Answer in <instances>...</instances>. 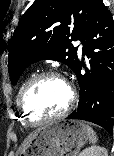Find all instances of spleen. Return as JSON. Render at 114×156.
I'll return each instance as SVG.
<instances>
[{
  "mask_svg": "<svg viewBox=\"0 0 114 156\" xmlns=\"http://www.w3.org/2000/svg\"><path fill=\"white\" fill-rule=\"evenodd\" d=\"M87 133H88L89 142L95 144L98 139L94 130L91 127L87 126Z\"/></svg>",
  "mask_w": 114,
  "mask_h": 156,
  "instance_id": "3e777b00",
  "label": "spleen"
}]
</instances>
